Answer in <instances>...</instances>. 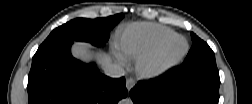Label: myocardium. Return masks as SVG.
Segmentation results:
<instances>
[{
	"mask_svg": "<svg viewBox=\"0 0 252 104\" xmlns=\"http://www.w3.org/2000/svg\"><path fill=\"white\" fill-rule=\"evenodd\" d=\"M184 39L183 49L175 55H166L165 49L176 39ZM188 51V43L186 39L175 34L154 46L152 49L141 55L136 60V70L143 77H153L164 72L168 68L179 63Z\"/></svg>",
	"mask_w": 252,
	"mask_h": 104,
	"instance_id": "f54148a6",
	"label": "myocardium"
}]
</instances>
